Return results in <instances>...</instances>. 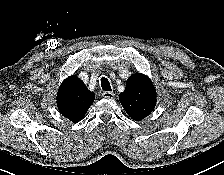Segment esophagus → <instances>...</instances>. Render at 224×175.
<instances>
[{
  "instance_id": "obj_1",
  "label": "esophagus",
  "mask_w": 224,
  "mask_h": 175,
  "mask_svg": "<svg viewBox=\"0 0 224 175\" xmlns=\"http://www.w3.org/2000/svg\"><path fill=\"white\" fill-rule=\"evenodd\" d=\"M114 96H115V94L113 92L104 91L102 93L103 98L112 99V98H114Z\"/></svg>"
}]
</instances>
